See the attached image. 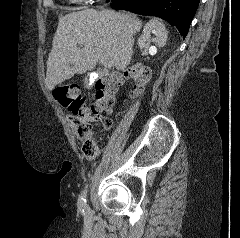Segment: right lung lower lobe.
<instances>
[{
    "label": "right lung lower lobe",
    "instance_id": "98d812e1",
    "mask_svg": "<svg viewBox=\"0 0 240 238\" xmlns=\"http://www.w3.org/2000/svg\"><path fill=\"white\" fill-rule=\"evenodd\" d=\"M109 1V0H107ZM113 9L160 17L186 37L200 0H111Z\"/></svg>",
    "mask_w": 240,
    "mask_h": 238
}]
</instances>
